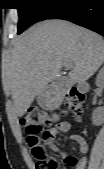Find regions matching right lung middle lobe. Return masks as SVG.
Here are the masks:
<instances>
[{
  "mask_svg": "<svg viewBox=\"0 0 104 169\" xmlns=\"http://www.w3.org/2000/svg\"><path fill=\"white\" fill-rule=\"evenodd\" d=\"M18 6V34L35 22L49 19L63 6L75 0H15Z\"/></svg>",
  "mask_w": 104,
  "mask_h": 169,
  "instance_id": "obj_1",
  "label": "right lung middle lobe"
}]
</instances>
